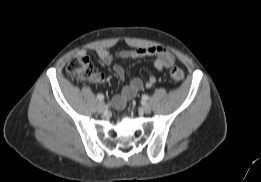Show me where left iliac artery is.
Masks as SVG:
<instances>
[{
    "label": "left iliac artery",
    "instance_id": "obj_1",
    "mask_svg": "<svg viewBox=\"0 0 261 182\" xmlns=\"http://www.w3.org/2000/svg\"><path fill=\"white\" fill-rule=\"evenodd\" d=\"M148 99H149V96H148V95L144 94V95L142 96V100H143V101H147Z\"/></svg>",
    "mask_w": 261,
    "mask_h": 182
}]
</instances>
